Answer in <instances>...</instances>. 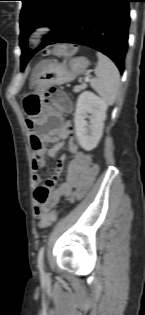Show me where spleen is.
Instances as JSON below:
<instances>
[{
  "instance_id": "obj_1",
  "label": "spleen",
  "mask_w": 145,
  "mask_h": 315,
  "mask_svg": "<svg viewBox=\"0 0 145 315\" xmlns=\"http://www.w3.org/2000/svg\"><path fill=\"white\" fill-rule=\"evenodd\" d=\"M96 77L90 81L91 87L109 105H112L120 88V74L116 65L105 55L98 52Z\"/></svg>"
}]
</instances>
